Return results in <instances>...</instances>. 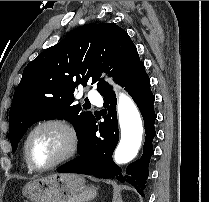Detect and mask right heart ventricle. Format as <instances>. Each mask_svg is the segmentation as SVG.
<instances>
[{
  "label": "right heart ventricle",
  "mask_w": 209,
  "mask_h": 202,
  "mask_svg": "<svg viewBox=\"0 0 209 202\" xmlns=\"http://www.w3.org/2000/svg\"><path fill=\"white\" fill-rule=\"evenodd\" d=\"M24 159H25V157H24ZM25 164H26L27 170H28L29 172H32L33 170H31L30 167L27 165L26 160H25Z\"/></svg>",
  "instance_id": "right-heart-ventricle-1"
}]
</instances>
